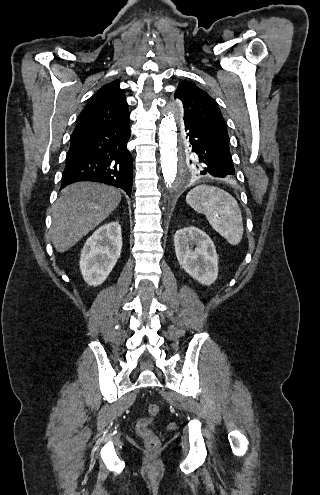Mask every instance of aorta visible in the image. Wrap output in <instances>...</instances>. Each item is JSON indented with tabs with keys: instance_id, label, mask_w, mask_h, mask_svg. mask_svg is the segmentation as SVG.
<instances>
[{
	"instance_id": "aorta-1",
	"label": "aorta",
	"mask_w": 320,
	"mask_h": 495,
	"mask_svg": "<svg viewBox=\"0 0 320 495\" xmlns=\"http://www.w3.org/2000/svg\"><path fill=\"white\" fill-rule=\"evenodd\" d=\"M180 102L168 106L159 126L160 161L164 182L171 186L175 181L178 165L177 127L175 116L181 111ZM189 177L182 180L181 184L188 181ZM162 211V205L157 208Z\"/></svg>"
}]
</instances>
